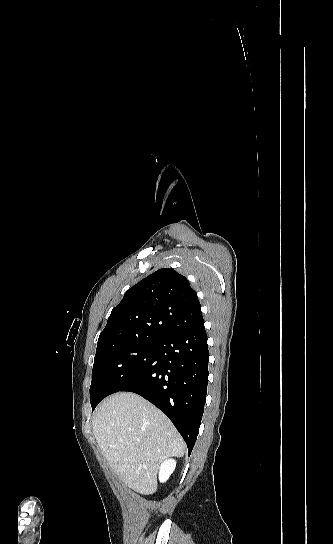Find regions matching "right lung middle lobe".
<instances>
[{"label": "right lung middle lobe", "mask_w": 333, "mask_h": 544, "mask_svg": "<svg viewBox=\"0 0 333 544\" xmlns=\"http://www.w3.org/2000/svg\"><path fill=\"white\" fill-rule=\"evenodd\" d=\"M157 341H140L121 345L95 355L90 387L94 410L106 396L130 383L153 356Z\"/></svg>", "instance_id": "right-lung-middle-lobe-1"}]
</instances>
